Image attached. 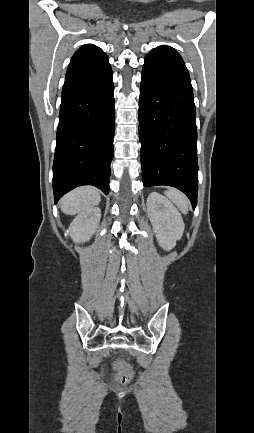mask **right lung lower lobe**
Segmentation results:
<instances>
[{
	"label": "right lung lower lobe",
	"mask_w": 254,
	"mask_h": 433,
	"mask_svg": "<svg viewBox=\"0 0 254 433\" xmlns=\"http://www.w3.org/2000/svg\"><path fill=\"white\" fill-rule=\"evenodd\" d=\"M112 70L105 60L66 73L53 163L55 203L93 185L109 192L115 119Z\"/></svg>",
	"instance_id": "obj_1"
}]
</instances>
